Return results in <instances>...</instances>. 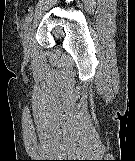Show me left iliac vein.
I'll return each mask as SVG.
<instances>
[{"mask_svg": "<svg viewBox=\"0 0 135 161\" xmlns=\"http://www.w3.org/2000/svg\"><path fill=\"white\" fill-rule=\"evenodd\" d=\"M32 38H33L32 27H29L26 29L23 35V47L26 55H29L30 53Z\"/></svg>", "mask_w": 135, "mask_h": 161, "instance_id": "4c4485c4", "label": "left iliac vein"}]
</instances>
